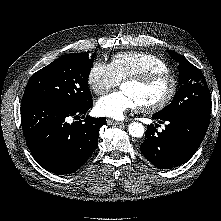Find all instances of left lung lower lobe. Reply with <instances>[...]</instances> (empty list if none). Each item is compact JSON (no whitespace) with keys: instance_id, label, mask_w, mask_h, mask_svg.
<instances>
[{"instance_id":"left-lung-lower-lobe-1","label":"left lung lower lobe","mask_w":221,"mask_h":221,"mask_svg":"<svg viewBox=\"0 0 221 221\" xmlns=\"http://www.w3.org/2000/svg\"><path fill=\"white\" fill-rule=\"evenodd\" d=\"M153 118L159 123L166 122V128L158 132V124L148 125L140 151L156 167L171 169L186 163L195 154L208 129L210 114L169 117L154 114Z\"/></svg>"}]
</instances>
